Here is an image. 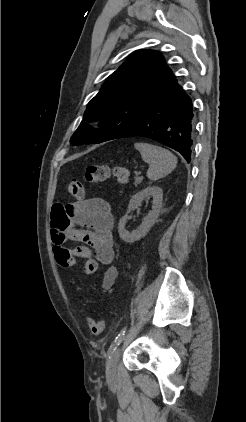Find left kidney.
<instances>
[{"label":"left kidney","mask_w":246,"mask_h":422,"mask_svg":"<svg viewBox=\"0 0 246 422\" xmlns=\"http://www.w3.org/2000/svg\"><path fill=\"white\" fill-rule=\"evenodd\" d=\"M153 197L152 210L144 218L142 224L138 229L128 232L125 228L126 222L129 218L128 214L131 210H134L141 206L144 199ZM163 191L158 186H148L144 190L136 193L130 200L126 214L120 219L118 224V232L120 238L127 243H134L135 241L143 238L150 228L154 225L156 219L159 216L162 208Z\"/></svg>","instance_id":"1"}]
</instances>
